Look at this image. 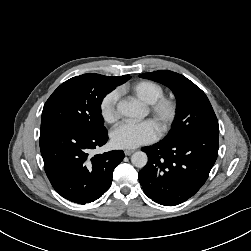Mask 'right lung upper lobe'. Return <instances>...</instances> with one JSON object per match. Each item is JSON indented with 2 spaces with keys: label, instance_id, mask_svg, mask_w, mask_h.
Returning a JSON list of instances; mask_svg holds the SVG:
<instances>
[{
  "label": "right lung upper lobe",
  "instance_id": "cb5924a9",
  "mask_svg": "<svg viewBox=\"0 0 251 251\" xmlns=\"http://www.w3.org/2000/svg\"><path fill=\"white\" fill-rule=\"evenodd\" d=\"M127 76H128V75H124V76H119V77H116V78L123 80V79H125Z\"/></svg>",
  "mask_w": 251,
  "mask_h": 251
}]
</instances>
